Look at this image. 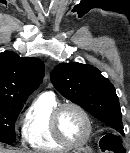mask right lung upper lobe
Returning <instances> with one entry per match:
<instances>
[{"label": "right lung upper lobe", "instance_id": "right-lung-upper-lobe-1", "mask_svg": "<svg viewBox=\"0 0 130 153\" xmlns=\"http://www.w3.org/2000/svg\"><path fill=\"white\" fill-rule=\"evenodd\" d=\"M44 76L43 62L16 53H0V103L23 104Z\"/></svg>", "mask_w": 130, "mask_h": 153}]
</instances>
